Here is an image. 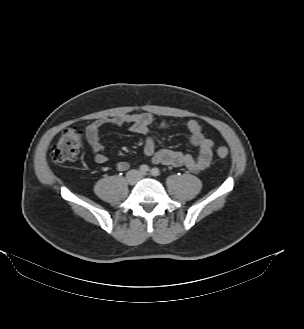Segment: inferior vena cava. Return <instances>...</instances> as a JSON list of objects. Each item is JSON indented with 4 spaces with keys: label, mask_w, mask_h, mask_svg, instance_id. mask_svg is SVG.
Here are the masks:
<instances>
[{
    "label": "inferior vena cava",
    "mask_w": 304,
    "mask_h": 329,
    "mask_svg": "<svg viewBox=\"0 0 304 329\" xmlns=\"http://www.w3.org/2000/svg\"><path fill=\"white\" fill-rule=\"evenodd\" d=\"M129 173H135L136 174V179H139L141 177V173L139 171H130Z\"/></svg>",
    "instance_id": "1"
}]
</instances>
